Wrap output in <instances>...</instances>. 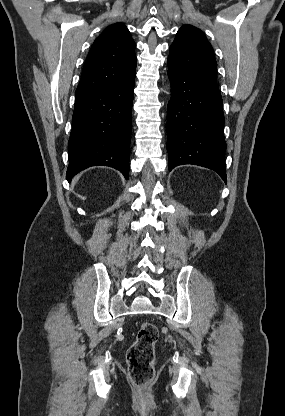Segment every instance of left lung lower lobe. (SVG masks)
I'll list each match as a JSON object with an SVG mask.
<instances>
[{
    "instance_id": "0a47b994",
    "label": "left lung lower lobe",
    "mask_w": 285,
    "mask_h": 416,
    "mask_svg": "<svg viewBox=\"0 0 285 416\" xmlns=\"http://www.w3.org/2000/svg\"><path fill=\"white\" fill-rule=\"evenodd\" d=\"M171 99L167 107L169 170L194 164L215 171L227 181L222 98L208 82L168 60Z\"/></svg>"
}]
</instances>
